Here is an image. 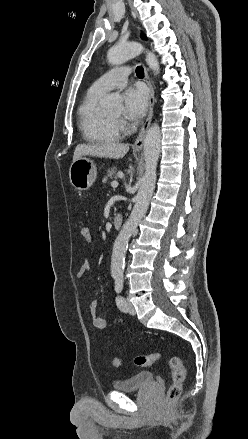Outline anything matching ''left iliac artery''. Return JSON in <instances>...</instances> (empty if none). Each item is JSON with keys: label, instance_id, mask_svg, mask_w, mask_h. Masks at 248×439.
<instances>
[{"label": "left iliac artery", "instance_id": "1", "mask_svg": "<svg viewBox=\"0 0 248 439\" xmlns=\"http://www.w3.org/2000/svg\"><path fill=\"white\" fill-rule=\"evenodd\" d=\"M114 279H115V291L116 293L120 294L124 286V277L122 274H117L114 276ZM116 305L121 311L123 312L127 311V304L123 296L118 295L116 297Z\"/></svg>", "mask_w": 248, "mask_h": 439}]
</instances>
